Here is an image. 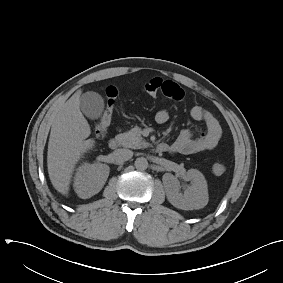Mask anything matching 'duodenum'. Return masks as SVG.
<instances>
[{
    "mask_svg": "<svg viewBox=\"0 0 283 283\" xmlns=\"http://www.w3.org/2000/svg\"><path fill=\"white\" fill-rule=\"evenodd\" d=\"M121 146V140L119 138H112L109 141V147L112 150H115ZM157 150L159 152H165L167 150V144L166 143H160L157 146Z\"/></svg>",
    "mask_w": 283,
    "mask_h": 283,
    "instance_id": "duodenum-1",
    "label": "duodenum"
}]
</instances>
